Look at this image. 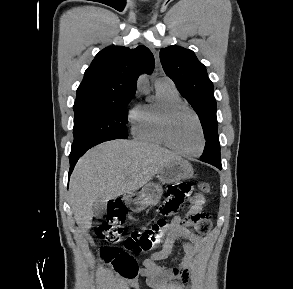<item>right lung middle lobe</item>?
I'll use <instances>...</instances> for the list:
<instances>
[{"mask_svg":"<svg viewBox=\"0 0 293 289\" xmlns=\"http://www.w3.org/2000/svg\"><path fill=\"white\" fill-rule=\"evenodd\" d=\"M132 97L75 101L72 150L91 148L113 139H127L125 110Z\"/></svg>","mask_w":293,"mask_h":289,"instance_id":"1","label":"right lung middle lobe"}]
</instances>
